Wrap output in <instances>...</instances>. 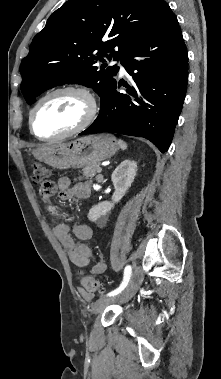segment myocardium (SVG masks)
Listing matches in <instances>:
<instances>
[{"label": "myocardium", "instance_id": "1", "mask_svg": "<svg viewBox=\"0 0 221 379\" xmlns=\"http://www.w3.org/2000/svg\"><path fill=\"white\" fill-rule=\"evenodd\" d=\"M60 93H75L78 95H81L88 103V111L84 117V119L74 128L55 135L51 137H42L38 135L34 129V116L40 105L49 97L60 94ZM98 114V104L93 96V94L86 88L78 85H66V86H61L55 89H52L45 93L42 97L38 99V101L35 103V105L31 108L29 112V129L31 134L36 137L37 139L41 141H56L60 139L67 138L69 136H72L74 134H77L83 130H85L87 127H89L95 120L96 116Z\"/></svg>", "mask_w": 221, "mask_h": 379}]
</instances>
